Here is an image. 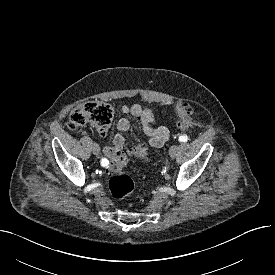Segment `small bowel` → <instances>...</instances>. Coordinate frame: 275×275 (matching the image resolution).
I'll return each instance as SVG.
<instances>
[{
	"mask_svg": "<svg viewBox=\"0 0 275 275\" xmlns=\"http://www.w3.org/2000/svg\"><path fill=\"white\" fill-rule=\"evenodd\" d=\"M121 117L117 122V129L119 133L114 137L113 144L107 145L103 152L109 160H114L118 157L124 156L125 139L122 135L130 127V117L139 119L143 133L148 137L149 145L153 148L162 147L169 138V130L166 127H156L155 114L148 108H144L139 104L122 105L120 107ZM105 135L106 132H100ZM107 159V160H108Z\"/></svg>",
	"mask_w": 275,
	"mask_h": 275,
	"instance_id": "c3829d8e",
	"label": "small bowel"
}]
</instances>
